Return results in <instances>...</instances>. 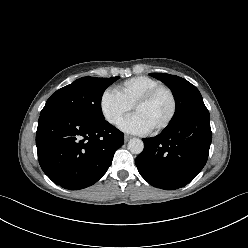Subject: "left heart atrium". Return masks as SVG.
Masks as SVG:
<instances>
[{"instance_id":"1","label":"left heart atrium","mask_w":248,"mask_h":248,"mask_svg":"<svg viewBox=\"0 0 248 248\" xmlns=\"http://www.w3.org/2000/svg\"><path fill=\"white\" fill-rule=\"evenodd\" d=\"M120 129L133 134H146L151 131L143 119L137 114H134L122 121L120 124Z\"/></svg>"}]
</instances>
